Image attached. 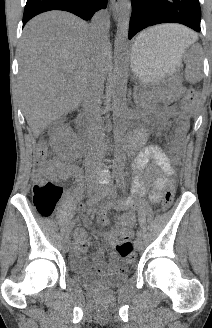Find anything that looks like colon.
<instances>
[{"instance_id":"1","label":"colon","mask_w":212,"mask_h":328,"mask_svg":"<svg viewBox=\"0 0 212 328\" xmlns=\"http://www.w3.org/2000/svg\"><path fill=\"white\" fill-rule=\"evenodd\" d=\"M197 99V92L194 89H189L183 100V107L189 109ZM186 130V125L181 123L176 129L172 141L171 150L175 158L180 155V142ZM48 150L45 144H40L37 149V161L44 168L37 176V180L33 186V204L37 213L44 217L49 218L54 214L56 206L62 195V188L57 183L45 181V176H50V169L46 166ZM175 196V184L171 182L166 189L162 201L164 210H168L173 204ZM117 253L129 261L134 260L133 247L129 239H121L116 245Z\"/></svg>"}]
</instances>
